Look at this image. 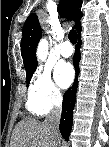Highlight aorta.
<instances>
[{
  "mask_svg": "<svg viewBox=\"0 0 109 147\" xmlns=\"http://www.w3.org/2000/svg\"><path fill=\"white\" fill-rule=\"evenodd\" d=\"M48 54V42L46 39H41L37 47L38 60H45Z\"/></svg>",
  "mask_w": 109,
  "mask_h": 147,
  "instance_id": "762f6f07",
  "label": "aorta"
}]
</instances>
